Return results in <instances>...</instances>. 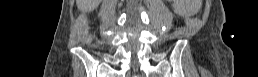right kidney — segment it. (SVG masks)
Returning a JSON list of instances; mask_svg holds the SVG:
<instances>
[{
	"instance_id": "ca27d5eb",
	"label": "right kidney",
	"mask_w": 258,
	"mask_h": 77,
	"mask_svg": "<svg viewBox=\"0 0 258 77\" xmlns=\"http://www.w3.org/2000/svg\"><path fill=\"white\" fill-rule=\"evenodd\" d=\"M100 2V0H92V6H90L91 8H94L95 6H97V4Z\"/></svg>"
}]
</instances>
